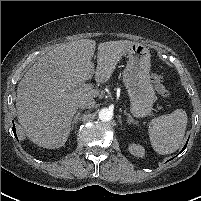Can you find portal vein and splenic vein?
Returning a JSON list of instances; mask_svg holds the SVG:
<instances>
[{"mask_svg": "<svg viewBox=\"0 0 201 201\" xmlns=\"http://www.w3.org/2000/svg\"><path fill=\"white\" fill-rule=\"evenodd\" d=\"M91 87H92V85H90V84H83L81 88H82L83 90H85V91H88V90L91 89Z\"/></svg>", "mask_w": 201, "mask_h": 201, "instance_id": "18ae733b", "label": "portal vein and splenic vein"}]
</instances>
